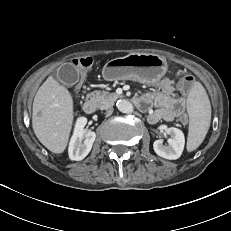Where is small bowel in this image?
I'll list each match as a JSON object with an SVG mask.
<instances>
[{
	"label": "small bowel",
	"instance_id": "small-bowel-1",
	"mask_svg": "<svg viewBox=\"0 0 231 231\" xmlns=\"http://www.w3.org/2000/svg\"><path fill=\"white\" fill-rule=\"evenodd\" d=\"M148 111V122L155 124L159 121L171 122L185 116L186 100L174 95V87L169 80H163L158 90L149 92L141 97ZM155 109L152 110L151 108Z\"/></svg>",
	"mask_w": 231,
	"mask_h": 231
}]
</instances>
